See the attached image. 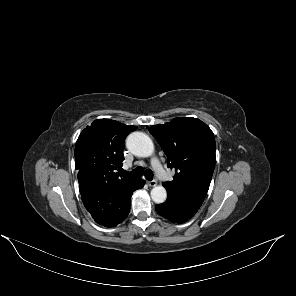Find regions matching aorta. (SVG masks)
I'll use <instances>...</instances> for the list:
<instances>
[{
	"label": "aorta",
	"instance_id": "obj_1",
	"mask_svg": "<svg viewBox=\"0 0 296 296\" xmlns=\"http://www.w3.org/2000/svg\"><path fill=\"white\" fill-rule=\"evenodd\" d=\"M128 149L138 157H149L154 152V144L151 138L142 132H132L126 140ZM151 198L156 204L166 201L167 191L159 185L151 190Z\"/></svg>",
	"mask_w": 296,
	"mask_h": 296
}]
</instances>
